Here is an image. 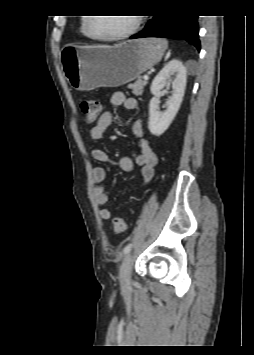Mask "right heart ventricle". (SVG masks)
<instances>
[{"instance_id": "right-heart-ventricle-1", "label": "right heart ventricle", "mask_w": 254, "mask_h": 355, "mask_svg": "<svg viewBox=\"0 0 254 355\" xmlns=\"http://www.w3.org/2000/svg\"><path fill=\"white\" fill-rule=\"evenodd\" d=\"M86 20H87V17L81 18L80 31L86 38H90L87 34V31H86Z\"/></svg>"}]
</instances>
